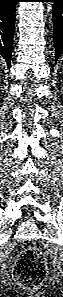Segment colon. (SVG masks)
<instances>
[{
    "mask_svg": "<svg viewBox=\"0 0 63 297\" xmlns=\"http://www.w3.org/2000/svg\"><path fill=\"white\" fill-rule=\"evenodd\" d=\"M14 276L24 287L33 289L45 279L46 265L44 257L35 248L25 249L17 258Z\"/></svg>",
    "mask_w": 63,
    "mask_h": 297,
    "instance_id": "obj_1",
    "label": "colon"
}]
</instances>
